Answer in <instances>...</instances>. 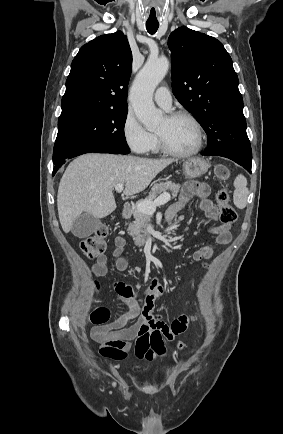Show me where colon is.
Here are the masks:
<instances>
[{
    "instance_id": "1",
    "label": "colon",
    "mask_w": 283,
    "mask_h": 434,
    "mask_svg": "<svg viewBox=\"0 0 283 434\" xmlns=\"http://www.w3.org/2000/svg\"><path fill=\"white\" fill-rule=\"evenodd\" d=\"M216 175L220 180H226L229 176V170L224 165L216 167ZM216 201L219 206V216L224 224H233L237 219V213L230 204L229 194L226 189H221L216 194ZM81 249L90 259L103 255L107 246V230L104 227L99 228L95 233L89 235L81 241ZM109 318V311L104 307H93L89 322L99 326L104 325ZM179 349H183L184 344L179 343Z\"/></svg>"
}]
</instances>
